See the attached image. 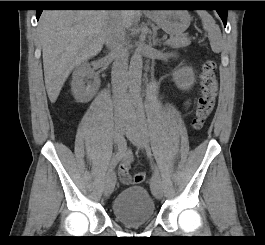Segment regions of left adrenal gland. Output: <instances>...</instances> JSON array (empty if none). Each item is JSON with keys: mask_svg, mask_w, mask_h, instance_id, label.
I'll return each mask as SVG.
<instances>
[{"mask_svg": "<svg viewBox=\"0 0 265 245\" xmlns=\"http://www.w3.org/2000/svg\"><path fill=\"white\" fill-rule=\"evenodd\" d=\"M153 46H157V45H161V41L156 39L155 35H153V42H152Z\"/></svg>", "mask_w": 265, "mask_h": 245, "instance_id": "left-adrenal-gland-1", "label": "left adrenal gland"}]
</instances>
